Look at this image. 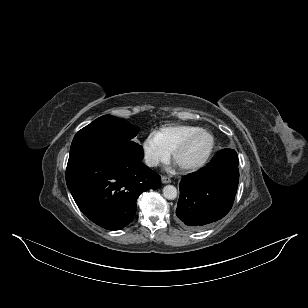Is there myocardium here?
Wrapping results in <instances>:
<instances>
[{"label":"myocardium","mask_w":308,"mask_h":308,"mask_svg":"<svg viewBox=\"0 0 308 308\" xmlns=\"http://www.w3.org/2000/svg\"><path fill=\"white\" fill-rule=\"evenodd\" d=\"M201 134L208 135L211 139L209 149L206 152V154L204 155V157L201 160H199L198 162L193 163V164H187V165L178 164V159L182 155V153L185 152L187 150V148L190 146V144L193 142V140ZM215 146H216V140H215L213 133L210 132L207 129L200 128V129L194 131L193 133H191L189 136H187L174 149V151L172 152V159H173L174 163H176L178 165L179 169L183 172L197 171V170L201 169L202 167H204L208 163V161L210 160V158H211V156L214 152Z\"/></svg>","instance_id":"myocardium-1"}]
</instances>
